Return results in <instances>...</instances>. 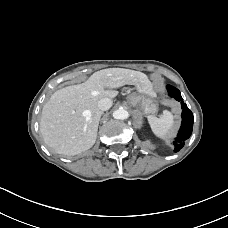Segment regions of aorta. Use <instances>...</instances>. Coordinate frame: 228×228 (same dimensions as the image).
I'll use <instances>...</instances> for the list:
<instances>
[{"label": "aorta", "instance_id": "aorta-1", "mask_svg": "<svg viewBox=\"0 0 228 228\" xmlns=\"http://www.w3.org/2000/svg\"><path fill=\"white\" fill-rule=\"evenodd\" d=\"M113 117L115 119L124 120V119H127L129 117V113L127 110L120 108V109H117L113 112Z\"/></svg>", "mask_w": 228, "mask_h": 228}]
</instances>
